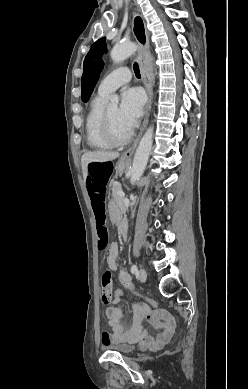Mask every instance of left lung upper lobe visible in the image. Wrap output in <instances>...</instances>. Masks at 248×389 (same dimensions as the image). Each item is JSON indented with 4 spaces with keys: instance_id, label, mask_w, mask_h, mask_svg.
<instances>
[{
    "instance_id": "5c2ea615",
    "label": "left lung upper lobe",
    "mask_w": 248,
    "mask_h": 389,
    "mask_svg": "<svg viewBox=\"0 0 248 389\" xmlns=\"http://www.w3.org/2000/svg\"><path fill=\"white\" fill-rule=\"evenodd\" d=\"M106 38L102 37L97 40L85 57L83 63V75L81 78L82 101L87 102L93 92V89L99 79L103 69L104 62L102 56L106 53Z\"/></svg>"
}]
</instances>
